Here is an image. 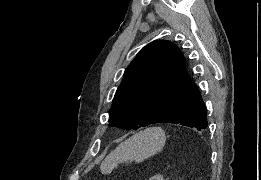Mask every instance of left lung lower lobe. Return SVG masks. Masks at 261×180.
<instances>
[{
  "instance_id": "left-lung-lower-lobe-1",
  "label": "left lung lower lobe",
  "mask_w": 261,
  "mask_h": 180,
  "mask_svg": "<svg viewBox=\"0 0 261 180\" xmlns=\"http://www.w3.org/2000/svg\"><path fill=\"white\" fill-rule=\"evenodd\" d=\"M161 122L181 124L197 128L198 130L207 128L206 106L202 100L199 88L190 78L151 124Z\"/></svg>"
}]
</instances>
